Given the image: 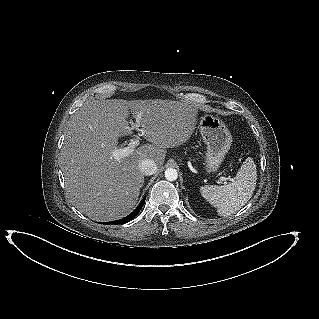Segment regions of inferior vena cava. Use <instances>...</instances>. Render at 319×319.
Instances as JSON below:
<instances>
[{
  "mask_svg": "<svg viewBox=\"0 0 319 319\" xmlns=\"http://www.w3.org/2000/svg\"><path fill=\"white\" fill-rule=\"evenodd\" d=\"M139 169L143 175H153L157 171V165L151 159H144L140 162Z\"/></svg>",
  "mask_w": 319,
  "mask_h": 319,
  "instance_id": "1",
  "label": "inferior vena cava"
}]
</instances>
